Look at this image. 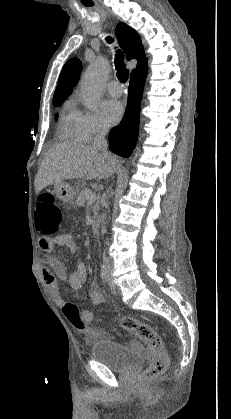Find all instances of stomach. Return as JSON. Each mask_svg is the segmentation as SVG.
I'll list each match as a JSON object with an SVG mask.
<instances>
[{"instance_id":"0dacf381","label":"stomach","mask_w":231,"mask_h":419,"mask_svg":"<svg viewBox=\"0 0 231 419\" xmlns=\"http://www.w3.org/2000/svg\"><path fill=\"white\" fill-rule=\"evenodd\" d=\"M54 191L60 200L72 204L74 203L78 189L70 186L66 182H60L55 184Z\"/></svg>"}]
</instances>
